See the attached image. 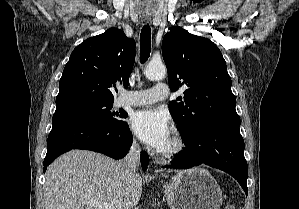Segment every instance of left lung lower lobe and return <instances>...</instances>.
Wrapping results in <instances>:
<instances>
[{
  "label": "left lung lower lobe",
  "instance_id": "0a47b994",
  "mask_svg": "<svg viewBox=\"0 0 299 209\" xmlns=\"http://www.w3.org/2000/svg\"><path fill=\"white\" fill-rule=\"evenodd\" d=\"M237 112L211 118L198 132L182 138V150L166 168L187 169L201 164L221 169L233 176L248 194L247 162L244 157V140L239 130Z\"/></svg>",
  "mask_w": 299,
  "mask_h": 209
}]
</instances>
